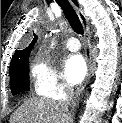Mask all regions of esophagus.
<instances>
[{"instance_id": "34e87169", "label": "esophagus", "mask_w": 122, "mask_h": 123, "mask_svg": "<svg viewBox=\"0 0 122 123\" xmlns=\"http://www.w3.org/2000/svg\"><path fill=\"white\" fill-rule=\"evenodd\" d=\"M75 9H76L77 14L79 16V19H80V21L83 24L84 29H85L86 60H87V65H88V72H87L86 78L76 91L75 97L77 98L82 93V91L84 90L86 84L88 83V81L91 77L93 64H92V47H91V41H90L89 23H88L86 16L83 13V10L77 6H75Z\"/></svg>"}]
</instances>
